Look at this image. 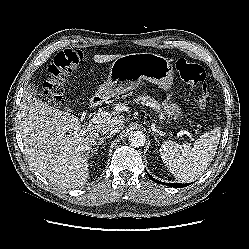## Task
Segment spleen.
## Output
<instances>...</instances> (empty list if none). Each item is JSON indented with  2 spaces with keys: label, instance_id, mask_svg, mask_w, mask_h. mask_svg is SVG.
Instances as JSON below:
<instances>
[{
  "label": "spleen",
  "instance_id": "3e777b00",
  "mask_svg": "<svg viewBox=\"0 0 249 249\" xmlns=\"http://www.w3.org/2000/svg\"><path fill=\"white\" fill-rule=\"evenodd\" d=\"M220 136L221 128H215L201 135L189 149L174 141H166L160 147L161 159L177 180L194 181L211 164Z\"/></svg>",
  "mask_w": 249,
  "mask_h": 249
}]
</instances>
